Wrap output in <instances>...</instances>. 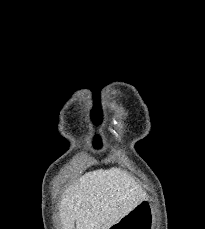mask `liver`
<instances>
[{"mask_svg": "<svg viewBox=\"0 0 205 229\" xmlns=\"http://www.w3.org/2000/svg\"><path fill=\"white\" fill-rule=\"evenodd\" d=\"M134 181L117 168L95 170L67 188L60 202L65 229H109L136 205Z\"/></svg>", "mask_w": 205, "mask_h": 229, "instance_id": "6515ba94", "label": "liver"}]
</instances>
